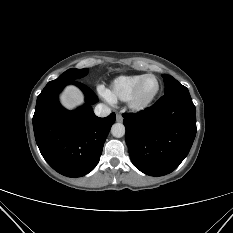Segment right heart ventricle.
Returning a JSON list of instances; mask_svg holds the SVG:
<instances>
[{"label": "right heart ventricle", "instance_id": "e07e8e85", "mask_svg": "<svg viewBox=\"0 0 233 233\" xmlns=\"http://www.w3.org/2000/svg\"><path fill=\"white\" fill-rule=\"evenodd\" d=\"M144 75H126L115 78L108 90L111 100L127 101L134 87Z\"/></svg>", "mask_w": 233, "mask_h": 233}]
</instances>
